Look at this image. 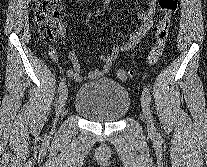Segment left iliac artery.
I'll return each instance as SVG.
<instances>
[{"mask_svg": "<svg viewBox=\"0 0 207 167\" xmlns=\"http://www.w3.org/2000/svg\"><path fill=\"white\" fill-rule=\"evenodd\" d=\"M143 95L146 97L147 101L149 103H151V95H150L149 89L146 86H143ZM158 136L160 138V134L159 133H158Z\"/></svg>", "mask_w": 207, "mask_h": 167, "instance_id": "left-iliac-artery-1", "label": "left iliac artery"}]
</instances>
